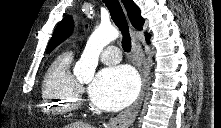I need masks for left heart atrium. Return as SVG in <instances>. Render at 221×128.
I'll list each match as a JSON object with an SVG mask.
<instances>
[{
    "mask_svg": "<svg viewBox=\"0 0 221 128\" xmlns=\"http://www.w3.org/2000/svg\"><path fill=\"white\" fill-rule=\"evenodd\" d=\"M139 78L126 66L101 70L89 89L91 101L98 107L115 111L129 105L139 91Z\"/></svg>",
    "mask_w": 221,
    "mask_h": 128,
    "instance_id": "39dd6f15",
    "label": "left heart atrium"
}]
</instances>
